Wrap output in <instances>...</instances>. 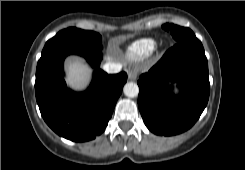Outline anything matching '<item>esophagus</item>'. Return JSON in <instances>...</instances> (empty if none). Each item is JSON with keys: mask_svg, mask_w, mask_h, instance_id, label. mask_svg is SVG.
I'll return each instance as SVG.
<instances>
[{"mask_svg": "<svg viewBox=\"0 0 245 170\" xmlns=\"http://www.w3.org/2000/svg\"><path fill=\"white\" fill-rule=\"evenodd\" d=\"M138 76V73L136 70H131L128 72V79L129 80H136Z\"/></svg>", "mask_w": 245, "mask_h": 170, "instance_id": "esophagus-1", "label": "esophagus"}]
</instances>
